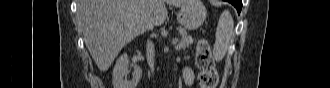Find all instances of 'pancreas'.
I'll list each match as a JSON object with an SVG mask.
<instances>
[{"instance_id":"cf45deb5","label":"pancreas","mask_w":330,"mask_h":88,"mask_svg":"<svg viewBox=\"0 0 330 88\" xmlns=\"http://www.w3.org/2000/svg\"><path fill=\"white\" fill-rule=\"evenodd\" d=\"M179 33L181 35V39L176 46L177 50H182L188 47L190 44H192L193 40L190 35H188L187 31L185 29L179 28Z\"/></svg>"}]
</instances>
